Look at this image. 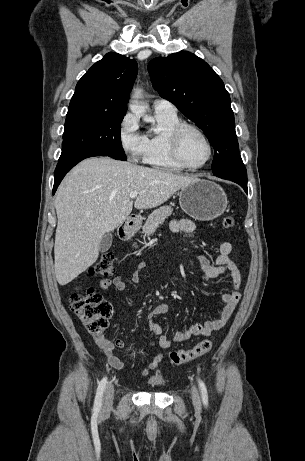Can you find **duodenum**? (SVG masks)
<instances>
[{"mask_svg": "<svg viewBox=\"0 0 305 461\" xmlns=\"http://www.w3.org/2000/svg\"><path fill=\"white\" fill-rule=\"evenodd\" d=\"M137 221L134 218H128L119 228V235L122 239H127L129 238L135 227H136Z\"/></svg>", "mask_w": 305, "mask_h": 461, "instance_id": "410a0bca", "label": "duodenum"}]
</instances>
